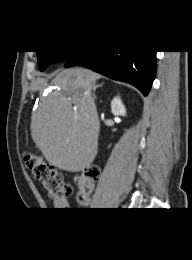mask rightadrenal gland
I'll return each instance as SVG.
<instances>
[{
  "label": "right adrenal gland",
  "mask_w": 192,
  "mask_h": 260,
  "mask_svg": "<svg viewBox=\"0 0 192 260\" xmlns=\"http://www.w3.org/2000/svg\"><path fill=\"white\" fill-rule=\"evenodd\" d=\"M102 85H103V83L100 84V85H96V84H93V85H92V87H93V97H94V99H96V95H95L96 89L99 88V87H102Z\"/></svg>",
  "instance_id": "obj_1"
}]
</instances>
